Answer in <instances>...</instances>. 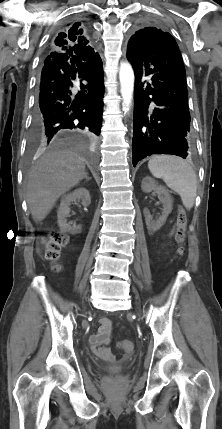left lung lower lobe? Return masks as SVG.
<instances>
[{
    "mask_svg": "<svg viewBox=\"0 0 222 429\" xmlns=\"http://www.w3.org/2000/svg\"><path fill=\"white\" fill-rule=\"evenodd\" d=\"M127 58L135 72L133 166L152 154L186 158L191 148L190 113L176 41L166 33L154 43L131 45Z\"/></svg>",
    "mask_w": 222,
    "mask_h": 429,
    "instance_id": "left-lung-lower-lobe-1",
    "label": "left lung lower lobe"
}]
</instances>
